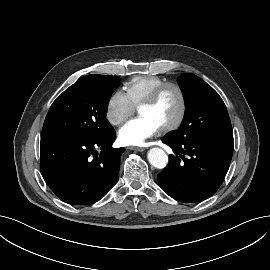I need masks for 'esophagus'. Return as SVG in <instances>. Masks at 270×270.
Returning <instances> with one entry per match:
<instances>
[{
  "label": "esophagus",
  "mask_w": 270,
  "mask_h": 270,
  "mask_svg": "<svg viewBox=\"0 0 270 270\" xmlns=\"http://www.w3.org/2000/svg\"><path fill=\"white\" fill-rule=\"evenodd\" d=\"M128 149L138 151V152H142L145 150V148H143V147H134V146H131Z\"/></svg>",
  "instance_id": "34e87169"
}]
</instances>
